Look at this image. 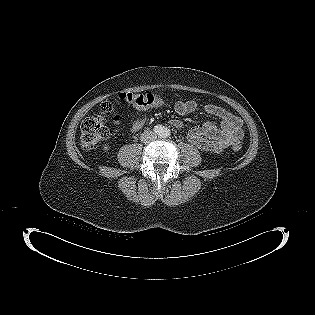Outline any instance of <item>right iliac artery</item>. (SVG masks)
Listing matches in <instances>:
<instances>
[{"label":"right iliac artery","mask_w":315,"mask_h":315,"mask_svg":"<svg viewBox=\"0 0 315 315\" xmlns=\"http://www.w3.org/2000/svg\"><path fill=\"white\" fill-rule=\"evenodd\" d=\"M153 130H154V132H155L156 134L161 135V133H162V131H163V127L160 126V125H157V126L154 127Z\"/></svg>","instance_id":"82829eb1"}]
</instances>
